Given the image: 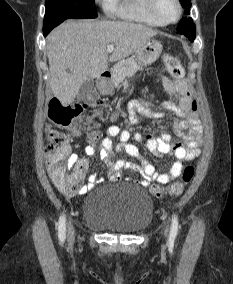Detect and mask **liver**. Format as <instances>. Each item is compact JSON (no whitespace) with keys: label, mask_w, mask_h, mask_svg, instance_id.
Masks as SVG:
<instances>
[{"label":"liver","mask_w":233,"mask_h":284,"mask_svg":"<svg viewBox=\"0 0 233 284\" xmlns=\"http://www.w3.org/2000/svg\"><path fill=\"white\" fill-rule=\"evenodd\" d=\"M157 33L145 25L124 21L62 23L47 38L50 87L54 96L62 105H70L84 81L100 77L109 62L136 53ZM108 45L114 46L109 57Z\"/></svg>","instance_id":"1"}]
</instances>
